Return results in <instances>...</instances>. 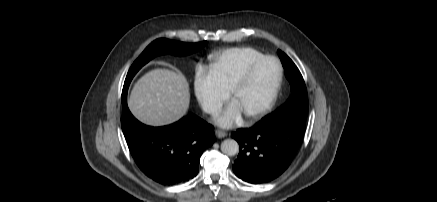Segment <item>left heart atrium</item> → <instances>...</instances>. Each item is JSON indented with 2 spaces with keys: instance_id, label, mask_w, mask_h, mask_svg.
<instances>
[{
  "instance_id": "1",
  "label": "left heart atrium",
  "mask_w": 437,
  "mask_h": 202,
  "mask_svg": "<svg viewBox=\"0 0 437 202\" xmlns=\"http://www.w3.org/2000/svg\"><path fill=\"white\" fill-rule=\"evenodd\" d=\"M243 112L238 103L232 100L226 108L216 116L215 122L224 128H229L241 122Z\"/></svg>"
}]
</instances>
